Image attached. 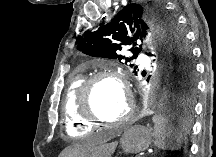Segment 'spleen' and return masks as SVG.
<instances>
[{
	"label": "spleen",
	"instance_id": "3e777b00",
	"mask_svg": "<svg viewBox=\"0 0 216 157\" xmlns=\"http://www.w3.org/2000/svg\"><path fill=\"white\" fill-rule=\"evenodd\" d=\"M153 122L154 145L161 150L180 149L183 135L174 129L170 121L163 116H155Z\"/></svg>",
	"mask_w": 216,
	"mask_h": 157
}]
</instances>
